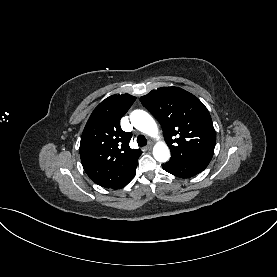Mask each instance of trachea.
Here are the masks:
<instances>
[{
	"label": "trachea",
	"mask_w": 277,
	"mask_h": 277,
	"mask_svg": "<svg viewBox=\"0 0 277 277\" xmlns=\"http://www.w3.org/2000/svg\"><path fill=\"white\" fill-rule=\"evenodd\" d=\"M137 143L139 146H145L147 144V139L143 135L137 137Z\"/></svg>",
	"instance_id": "obj_1"
}]
</instances>
